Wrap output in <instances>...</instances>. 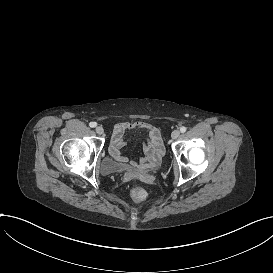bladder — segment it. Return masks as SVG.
I'll list each match as a JSON object with an SVG mask.
<instances>
[{"instance_id": "bladder-1", "label": "bladder", "mask_w": 273, "mask_h": 273, "mask_svg": "<svg viewBox=\"0 0 273 273\" xmlns=\"http://www.w3.org/2000/svg\"><path fill=\"white\" fill-rule=\"evenodd\" d=\"M101 170L105 175H114L127 170V167L122 162L113 158L107 157L101 164Z\"/></svg>"}]
</instances>
